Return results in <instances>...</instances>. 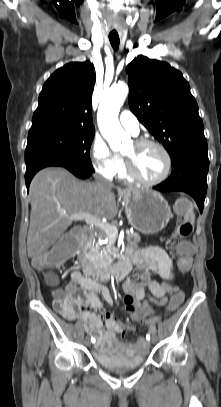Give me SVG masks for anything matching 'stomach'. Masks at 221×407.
Returning a JSON list of instances; mask_svg holds the SVG:
<instances>
[{
	"instance_id": "obj_1",
	"label": "stomach",
	"mask_w": 221,
	"mask_h": 407,
	"mask_svg": "<svg viewBox=\"0 0 221 407\" xmlns=\"http://www.w3.org/2000/svg\"><path fill=\"white\" fill-rule=\"evenodd\" d=\"M128 222L144 234L160 232L172 213L168 202L156 191L135 189L123 193Z\"/></svg>"
}]
</instances>
